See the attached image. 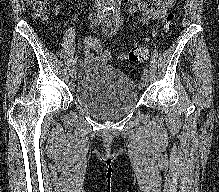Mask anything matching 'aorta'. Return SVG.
<instances>
[{"label": "aorta", "instance_id": "1", "mask_svg": "<svg viewBox=\"0 0 219 192\" xmlns=\"http://www.w3.org/2000/svg\"><path fill=\"white\" fill-rule=\"evenodd\" d=\"M111 5H118L121 3V0H109Z\"/></svg>", "mask_w": 219, "mask_h": 192}]
</instances>
